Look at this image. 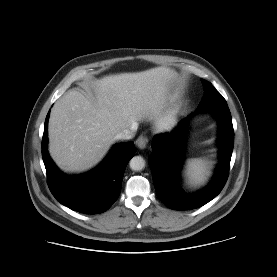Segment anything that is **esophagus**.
<instances>
[{
    "label": "esophagus",
    "instance_id": "34e87169",
    "mask_svg": "<svg viewBox=\"0 0 277 277\" xmlns=\"http://www.w3.org/2000/svg\"><path fill=\"white\" fill-rule=\"evenodd\" d=\"M148 143V138L146 136H139L136 140V145L139 149H144Z\"/></svg>",
    "mask_w": 277,
    "mask_h": 277
}]
</instances>
